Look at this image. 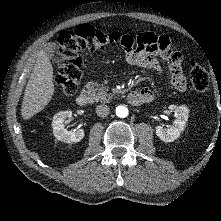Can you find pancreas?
I'll return each mask as SVG.
<instances>
[{"instance_id": "1", "label": "pancreas", "mask_w": 221, "mask_h": 221, "mask_svg": "<svg viewBox=\"0 0 221 221\" xmlns=\"http://www.w3.org/2000/svg\"><path fill=\"white\" fill-rule=\"evenodd\" d=\"M88 95L90 96V101L94 102H110L114 93H108V88L106 86L100 85L99 83L89 82L86 84Z\"/></svg>"}]
</instances>
